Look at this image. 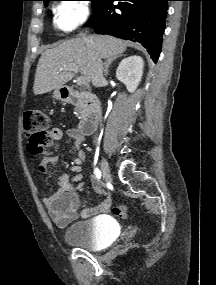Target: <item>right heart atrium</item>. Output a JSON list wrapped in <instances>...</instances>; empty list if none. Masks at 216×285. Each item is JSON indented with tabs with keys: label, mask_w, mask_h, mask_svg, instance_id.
Here are the masks:
<instances>
[{
	"label": "right heart atrium",
	"mask_w": 216,
	"mask_h": 285,
	"mask_svg": "<svg viewBox=\"0 0 216 285\" xmlns=\"http://www.w3.org/2000/svg\"><path fill=\"white\" fill-rule=\"evenodd\" d=\"M89 17V5L82 0L61 2L55 10V24L63 31H71Z\"/></svg>",
	"instance_id": "1"
}]
</instances>
